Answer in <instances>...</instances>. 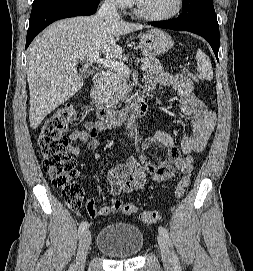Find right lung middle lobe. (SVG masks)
<instances>
[{
    "label": "right lung middle lobe",
    "instance_id": "1",
    "mask_svg": "<svg viewBox=\"0 0 253 271\" xmlns=\"http://www.w3.org/2000/svg\"><path fill=\"white\" fill-rule=\"evenodd\" d=\"M77 1H82V0H34L30 16H33L36 13H38L44 9H47L49 7H52V6L77 2ZM87 1H90L92 3L99 2V0H87Z\"/></svg>",
    "mask_w": 253,
    "mask_h": 271
}]
</instances>
